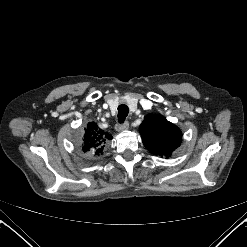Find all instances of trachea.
<instances>
[{
	"label": "trachea",
	"mask_w": 247,
	"mask_h": 247,
	"mask_svg": "<svg viewBox=\"0 0 247 247\" xmlns=\"http://www.w3.org/2000/svg\"><path fill=\"white\" fill-rule=\"evenodd\" d=\"M129 113V108L125 104L118 106V122L123 123Z\"/></svg>",
	"instance_id": "obj_1"
}]
</instances>
